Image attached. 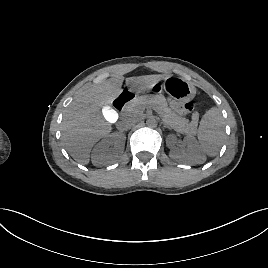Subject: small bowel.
Returning a JSON list of instances; mask_svg holds the SVG:
<instances>
[{
	"mask_svg": "<svg viewBox=\"0 0 268 268\" xmlns=\"http://www.w3.org/2000/svg\"><path fill=\"white\" fill-rule=\"evenodd\" d=\"M192 108V103H186L185 106L183 108H180L179 111L182 114H186L189 112V110Z\"/></svg>",
	"mask_w": 268,
	"mask_h": 268,
	"instance_id": "obj_1",
	"label": "small bowel"
}]
</instances>
